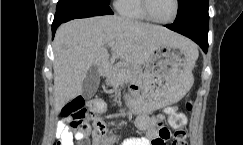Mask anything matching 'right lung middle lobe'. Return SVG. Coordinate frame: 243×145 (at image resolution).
<instances>
[{
	"instance_id": "obj_1",
	"label": "right lung middle lobe",
	"mask_w": 243,
	"mask_h": 145,
	"mask_svg": "<svg viewBox=\"0 0 243 145\" xmlns=\"http://www.w3.org/2000/svg\"><path fill=\"white\" fill-rule=\"evenodd\" d=\"M98 1L105 3V4H109V0H98Z\"/></svg>"
}]
</instances>
